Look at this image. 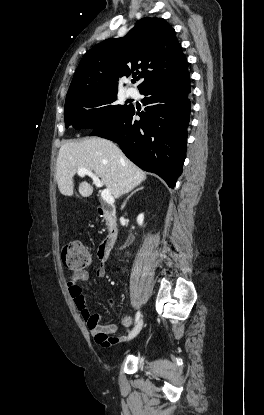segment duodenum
<instances>
[{"instance_id": "duodenum-1", "label": "duodenum", "mask_w": 264, "mask_h": 415, "mask_svg": "<svg viewBox=\"0 0 264 415\" xmlns=\"http://www.w3.org/2000/svg\"><path fill=\"white\" fill-rule=\"evenodd\" d=\"M97 212L98 215L102 217L108 225V233L103 239L98 250V257L100 261L105 262L110 258L111 252L117 241L118 222L116 211L108 205L99 207Z\"/></svg>"}]
</instances>
